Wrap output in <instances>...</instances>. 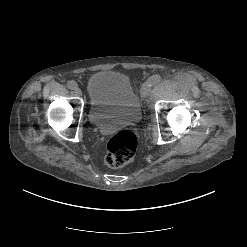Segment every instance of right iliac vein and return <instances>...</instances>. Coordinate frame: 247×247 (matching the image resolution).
<instances>
[{
	"mask_svg": "<svg viewBox=\"0 0 247 247\" xmlns=\"http://www.w3.org/2000/svg\"><path fill=\"white\" fill-rule=\"evenodd\" d=\"M74 91H75V94L77 96H81L82 95V91H81V89L79 87L75 88Z\"/></svg>",
	"mask_w": 247,
	"mask_h": 247,
	"instance_id": "1",
	"label": "right iliac vein"
}]
</instances>
